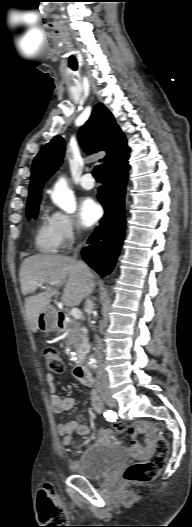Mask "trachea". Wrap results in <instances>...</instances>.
Returning <instances> with one entry per match:
<instances>
[{
	"instance_id": "3493384b",
	"label": "trachea",
	"mask_w": 192,
	"mask_h": 527,
	"mask_svg": "<svg viewBox=\"0 0 192 527\" xmlns=\"http://www.w3.org/2000/svg\"><path fill=\"white\" fill-rule=\"evenodd\" d=\"M93 176L94 178L101 182L103 181V167L102 165H98L93 169Z\"/></svg>"
}]
</instances>
